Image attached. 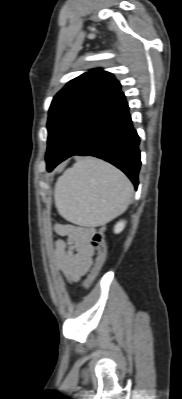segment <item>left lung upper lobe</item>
Segmentation results:
<instances>
[{"label":"left lung upper lobe","instance_id":"5c2ea615","mask_svg":"<svg viewBox=\"0 0 182 399\" xmlns=\"http://www.w3.org/2000/svg\"><path fill=\"white\" fill-rule=\"evenodd\" d=\"M120 92L119 81L101 69L71 80L54 97L49 109L46 162L55 160L85 119Z\"/></svg>","mask_w":182,"mask_h":399}]
</instances>
